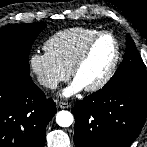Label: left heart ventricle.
Wrapping results in <instances>:
<instances>
[{"mask_svg": "<svg viewBox=\"0 0 147 147\" xmlns=\"http://www.w3.org/2000/svg\"><path fill=\"white\" fill-rule=\"evenodd\" d=\"M115 55V45L111 37H101L92 47L89 56L78 70L75 79L84 87L100 80L107 72Z\"/></svg>", "mask_w": 147, "mask_h": 147, "instance_id": "obj_1", "label": "left heart ventricle"}]
</instances>
